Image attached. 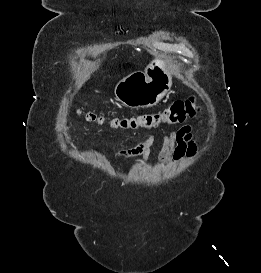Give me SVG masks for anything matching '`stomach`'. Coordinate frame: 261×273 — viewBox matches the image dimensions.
Here are the masks:
<instances>
[{
  "label": "stomach",
  "instance_id": "stomach-1",
  "mask_svg": "<svg viewBox=\"0 0 261 273\" xmlns=\"http://www.w3.org/2000/svg\"><path fill=\"white\" fill-rule=\"evenodd\" d=\"M171 86L170 64L163 57H157L143 72H133L120 80L114 92L117 100L127 107L147 108L156 105Z\"/></svg>",
  "mask_w": 261,
  "mask_h": 273
}]
</instances>
